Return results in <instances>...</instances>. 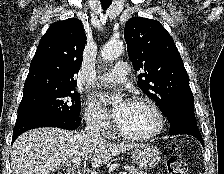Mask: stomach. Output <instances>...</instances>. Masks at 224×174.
I'll return each instance as SVG.
<instances>
[{
	"label": "stomach",
	"instance_id": "0dacf381",
	"mask_svg": "<svg viewBox=\"0 0 224 174\" xmlns=\"http://www.w3.org/2000/svg\"><path fill=\"white\" fill-rule=\"evenodd\" d=\"M131 158L140 169H151L160 161L159 149L151 144H138L131 152Z\"/></svg>",
	"mask_w": 224,
	"mask_h": 174
}]
</instances>
